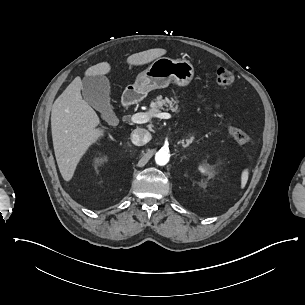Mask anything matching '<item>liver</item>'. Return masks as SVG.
Returning <instances> with one entry per match:
<instances>
[{"label": "liver", "instance_id": "liver-1", "mask_svg": "<svg viewBox=\"0 0 305 305\" xmlns=\"http://www.w3.org/2000/svg\"><path fill=\"white\" fill-rule=\"evenodd\" d=\"M166 54L165 49L155 48L132 54L129 65H143ZM107 62L98 63L85 71L86 76L104 75L110 71ZM82 81L76 77L52 105L51 129L53 147L60 173L70 181L81 157L90 145L104 135L96 128L100 120L92 107L82 99Z\"/></svg>", "mask_w": 305, "mask_h": 305}]
</instances>
